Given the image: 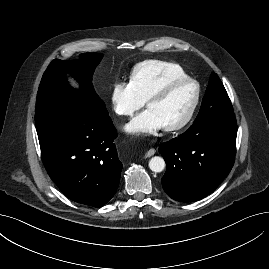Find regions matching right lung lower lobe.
I'll list each match as a JSON object with an SVG mask.
<instances>
[{
    "mask_svg": "<svg viewBox=\"0 0 269 269\" xmlns=\"http://www.w3.org/2000/svg\"><path fill=\"white\" fill-rule=\"evenodd\" d=\"M116 137L110 119L86 122L39 142L50 178L69 199L99 207L113 197L122 170L113 143Z\"/></svg>",
    "mask_w": 269,
    "mask_h": 269,
    "instance_id": "98d812e1",
    "label": "right lung lower lobe"
}]
</instances>
